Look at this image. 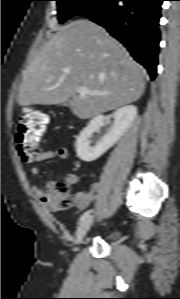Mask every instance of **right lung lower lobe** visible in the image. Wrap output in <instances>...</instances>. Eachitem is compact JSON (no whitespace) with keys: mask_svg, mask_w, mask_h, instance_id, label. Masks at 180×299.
I'll return each instance as SVG.
<instances>
[{"mask_svg":"<svg viewBox=\"0 0 180 299\" xmlns=\"http://www.w3.org/2000/svg\"><path fill=\"white\" fill-rule=\"evenodd\" d=\"M163 1L104 0L81 15L106 28L154 80L160 41L158 22Z\"/></svg>","mask_w":180,"mask_h":299,"instance_id":"right-lung-lower-lobe-1","label":"right lung lower lobe"}]
</instances>
